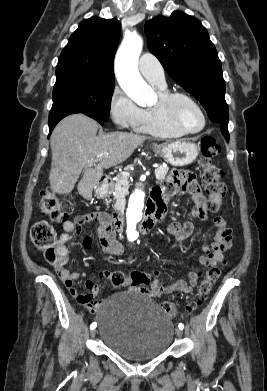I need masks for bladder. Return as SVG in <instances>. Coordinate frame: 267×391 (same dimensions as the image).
<instances>
[{
  "label": "bladder",
  "mask_w": 267,
  "mask_h": 391,
  "mask_svg": "<svg viewBox=\"0 0 267 391\" xmlns=\"http://www.w3.org/2000/svg\"><path fill=\"white\" fill-rule=\"evenodd\" d=\"M99 337L114 353L132 361H145L171 346L174 325L151 298L121 291L106 298L96 313Z\"/></svg>",
  "instance_id": "1"
}]
</instances>
